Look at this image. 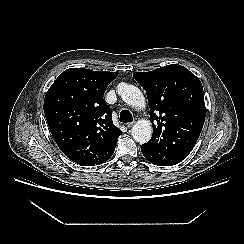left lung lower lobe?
I'll return each instance as SVG.
<instances>
[{"label":"left lung lower lobe","instance_id":"0a47b994","mask_svg":"<svg viewBox=\"0 0 244 244\" xmlns=\"http://www.w3.org/2000/svg\"><path fill=\"white\" fill-rule=\"evenodd\" d=\"M141 151H142V154L144 155V157L147 159L146 153L144 152V149L142 146H141Z\"/></svg>","mask_w":244,"mask_h":244}]
</instances>
